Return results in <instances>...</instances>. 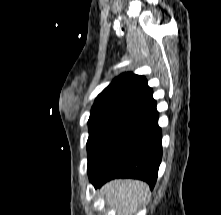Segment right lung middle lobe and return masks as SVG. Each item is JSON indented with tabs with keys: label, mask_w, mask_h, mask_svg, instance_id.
<instances>
[{
	"label": "right lung middle lobe",
	"mask_w": 221,
	"mask_h": 215,
	"mask_svg": "<svg viewBox=\"0 0 221 215\" xmlns=\"http://www.w3.org/2000/svg\"><path fill=\"white\" fill-rule=\"evenodd\" d=\"M136 111L132 107L119 104L93 105L88 120V168L96 161L109 139Z\"/></svg>",
	"instance_id": "1"
}]
</instances>
